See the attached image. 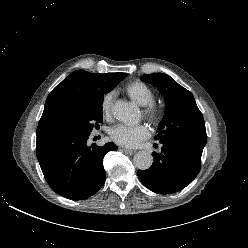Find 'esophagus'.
Returning <instances> with one entry per match:
<instances>
[{"label":"esophagus","instance_id":"34e87169","mask_svg":"<svg viewBox=\"0 0 248 248\" xmlns=\"http://www.w3.org/2000/svg\"><path fill=\"white\" fill-rule=\"evenodd\" d=\"M124 152L129 154V155H133L136 151L135 150H132V149H129V148H123Z\"/></svg>","mask_w":248,"mask_h":248}]
</instances>
